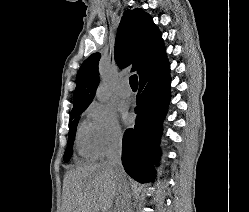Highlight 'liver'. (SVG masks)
Segmentation results:
<instances>
[{"mask_svg":"<svg viewBox=\"0 0 249 212\" xmlns=\"http://www.w3.org/2000/svg\"><path fill=\"white\" fill-rule=\"evenodd\" d=\"M64 190L66 212H114L118 192L115 170L107 162L83 164L67 172Z\"/></svg>","mask_w":249,"mask_h":212,"instance_id":"1","label":"liver"}]
</instances>
